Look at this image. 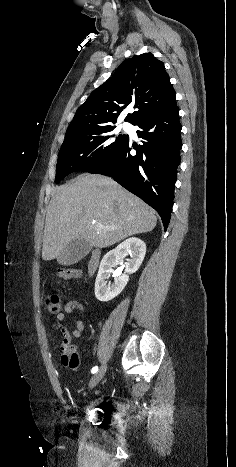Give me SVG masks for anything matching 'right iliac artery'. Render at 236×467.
<instances>
[{
	"mask_svg": "<svg viewBox=\"0 0 236 467\" xmlns=\"http://www.w3.org/2000/svg\"><path fill=\"white\" fill-rule=\"evenodd\" d=\"M98 371V366H95L92 368L91 373H96Z\"/></svg>",
	"mask_w": 236,
	"mask_h": 467,
	"instance_id": "obj_1",
	"label": "right iliac artery"
}]
</instances>
